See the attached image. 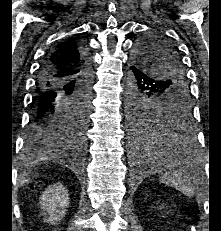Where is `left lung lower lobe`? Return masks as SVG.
Listing matches in <instances>:
<instances>
[{"label": "left lung lower lobe", "mask_w": 221, "mask_h": 231, "mask_svg": "<svg viewBox=\"0 0 221 231\" xmlns=\"http://www.w3.org/2000/svg\"><path fill=\"white\" fill-rule=\"evenodd\" d=\"M130 85L132 92L130 117L134 118L138 115L144 100L148 95L158 93L164 84L149 75L142 67L137 64L130 66ZM171 132L169 135L159 132L154 137L149 138L147 136L138 137V135L132 132L133 145L140 153L146 154L151 162H162L157 155L158 150H166L171 156L165 162L168 164H174L178 167L184 168L188 165L190 158L196 153V143L193 131L191 130V120L186 118L180 121V124L170 127ZM172 128L179 134L172 133Z\"/></svg>", "instance_id": "0a47b994"}]
</instances>
